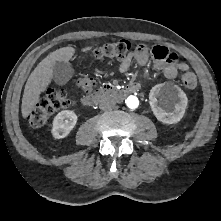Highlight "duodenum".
<instances>
[{
    "label": "duodenum",
    "mask_w": 221,
    "mask_h": 221,
    "mask_svg": "<svg viewBox=\"0 0 221 221\" xmlns=\"http://www.w3.org/2000/svg\"><path fill=\"white\" fill-rule=\"evenodd\" d=\"M139 86L137 84H130L123 89H118L112 85H103L96 91L83 97L82 102L87 106H91L106 97H113L115 99H123L129 94L137 92Z\"/></svg>",
    "instance_id": "obj_1"
}]
</instances>
